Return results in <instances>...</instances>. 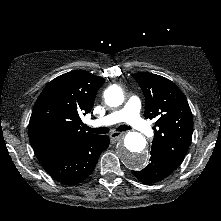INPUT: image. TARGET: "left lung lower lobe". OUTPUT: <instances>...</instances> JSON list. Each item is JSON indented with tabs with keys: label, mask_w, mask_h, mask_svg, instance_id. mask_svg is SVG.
Returning a JSON list of instances; mask_svg holds the SVG:
<instances>
[{
	"label": "left lung lower lobe",
	"mask_w": 221,
	"mask_h": 221,
	"mask_svg": "<svg viewBox=\"0 0 221 221\" xmlns=\"http://www.w3.org/2000/svg\"><path fill=\"white\" fill-rule=\"evenodd\" d=\"M173 170L156 154L151 153L150 163L141 171L132 173L144 183H154L166 178Z\"/></svg>",
	"instance_id": "obj_1"
}]
</instances>
